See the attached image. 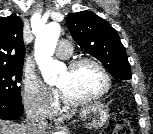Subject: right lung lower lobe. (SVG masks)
<instances>
[{"label":"right lung lower lobe","mask_w":153,"mask_h":134,"mask_svg":"<svg viewBox=\"0 0 153 134\" xmlns=\"http://www.w3.org/2000/svg\"><path fill=\"white\" fill-rule=\"evenodd\" d=\"M22 114L23 104L21 102L0 98V119L15 120Z\"/></svg>","instance_id":"right-lung-lower-lobe-1"}]
</instances>
